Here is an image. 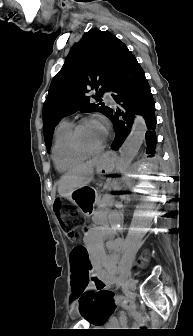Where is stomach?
I'll return each instance as SVG.
<instances>
[{
	"label": "stomach",
	"instance_id": "stomach-1",
	"mask_svg": "<svg viewBox=\"0 0 193 336\" xmlns=\"http://www.w3.org/2000/svg\"><path fill=\"white\" fill-rule=\"evenodd\" d=\"M114 165L115 154L108 152L103 155L102 161L95 168L100 174H109L113 171ZM69 198L84 214L89 215L96 202L97 194L89 187H82L73 191Z\"/></svg>",
	"mask_w": 193,
	"mask_h": 336
}]
</instances>
